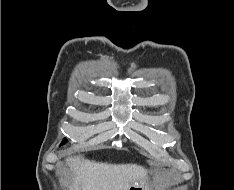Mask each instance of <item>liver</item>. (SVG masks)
Segmentation results:
<instances>
[{
  "label": "liver",
  "instance_id": "liver-1",
  "mask_svg": "<svg viewBox=\"0 0 234 190\" xmlns=\"http://www.w3.org/2000/svg\"><path fill=\"white\" fill-rule=\"evenodd\" d=\"M73 172L70 190H128L147 170L137 164H108L79 158L66 160Z\"/></svg>",
  "mask_w": 234,
  "mask_h": 190
}]
</instances>
